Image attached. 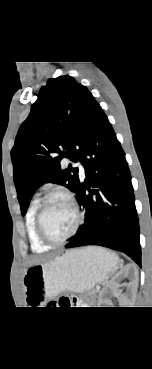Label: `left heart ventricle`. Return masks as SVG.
<instances>
[{
	"mask_svg": "<svg viewBox=\"0 0 152 369\" xmlns=\"http://www.w3.org/2000/svg\"><path fill=\"white\" fill-rule=\"evenodd\" d=\"M75 221L74 210L66 199L56 197L50 200L45 209L43 224L51 238L60 239L68 235Z\"/></svg>",
	"mask_w": 152,
	"mask_h": 369,
	"instance_id": "left-heart-ventricle-1",
	"label": "left heart ventricle"
}]
</instances>
